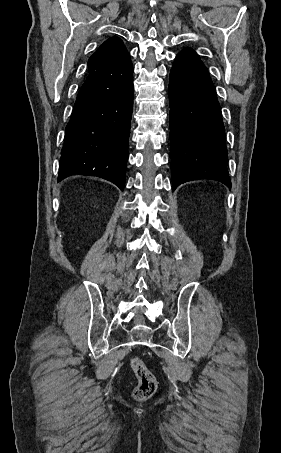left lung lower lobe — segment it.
<instances>
[{
	"label": "left lung lower lobe",
	"instance_id": "left-lung-lower-lobe-1",
	"mask_svg": "<svg viewBox=\"0 0 281 453\" xmlns=\"http://www.w3.org/2000/svg\"><path fill=\"white\" fill-rule=\"evenodd\" d=\"M173 190L211 179L231 187L221 109L204 64L190 48L175 58L169 83Z\"/></svg>",
	"mask_w": 281,
	"mask_h": 453
}]
</instances>
